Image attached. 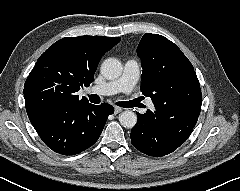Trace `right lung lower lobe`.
<instances>
[{
	"label": "right lung lower lobe",
	"mask_w": 240,
	"mask_h": 191,
	"mask_svg": "<svg viewBox=\"0 0 240 191\" xmlns=\"http://www.w3.org/2000/svg\"><path fill=\"white\" fill-rule=\"evenodd\" d=\"M113 112L114 108L106 103H61L34 111L28 117L51 150L62 155H75L96 143Z\"/></svg>",
	"instance_id": "1"
}]
</instances>
